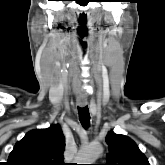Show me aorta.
<instances>
[{
    "instance_id": "1",
    "label": "aorta",
    "mask_w": 165,
    "mask_h": 165,
    "mask_svg": "<svg viewBox=\"0 0 165 165\" xmlns=\"http://www.w3.org/2000/svg\"><path fill=\"white\" fill-rule=\"evenodd\" d=\"M102 153V147L100 145H89L81 148L75 157L77 164H94Z\"/></svg>"
}]
</instances>
